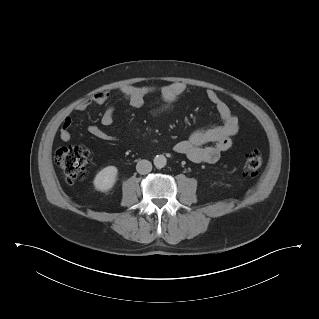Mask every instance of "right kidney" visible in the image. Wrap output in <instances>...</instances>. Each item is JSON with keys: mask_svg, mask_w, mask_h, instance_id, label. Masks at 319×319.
Listing matches in <instances>:
<instances>
[{"mask_svg": "<svg viewBox=\"0 0 319 319\" xmlns=\"http://www.w3.org/2000/svg\"><path fill=\"white\" fill-rule=\"evenodd\" d=\"M118 169L115 166H107L102 169L94 178V186L99 191H108L111 189L115 182Z\"/></svg>", "mask_w": 319, "mask_h": 319, "instance_id": "ca27d5eb", "label": "right kidney"}]
</instances>
